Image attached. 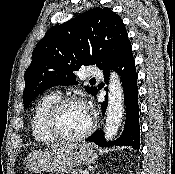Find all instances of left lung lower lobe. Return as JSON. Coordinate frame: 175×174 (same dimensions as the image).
Wrapping results in <instances>:
<instances>
[{"label":"left lung lower lobe","mask_w":175,"mask_h":174,"mask_svg":"<svg viewBox=\"0 0 175 174\" xmlns=\"http://www.w3.org/2000/svg\"><path fill=\"white\" fill-rule=\"evenodd\" d=\"M110 70H114L121 76L124 93V103L126 106V120L122 135L115 141L107 142L104 139L102 130H97L86 139L95 142L97 145L105 147L108 145H125L140 149V125H139V105H138V86L137 73L132 53L131 43L122 51L117 60L106 70L103 71L104 79L107 82ZM97 94V93H96ZM95 94V95H96ZM103 112L107 108V99L101 104Z\"/></svg>","instance_id":"1"}]
</instances>
